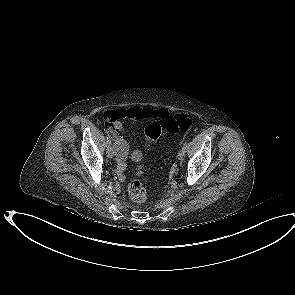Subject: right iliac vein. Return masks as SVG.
Masks as SVG:
<instances>
[{
    "label": "right iliac vein",
    "instance_id": "1",
    "mask_svg": "<svg viewBox=\"0 0 295 295\" xmlns=\"http://www.w3.org/2000/svg\"><path fill=\"white\" fill-rule=\"evenodd\" d=\"M106 153L109 158H113L116 153L114 145H108Z\"/></svg>",
    "mask_w": 295,
    "mask_h": 295
}]
</instances>
